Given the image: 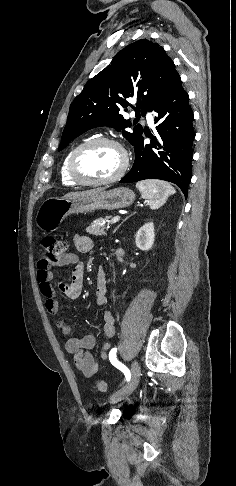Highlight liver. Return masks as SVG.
<instances>
[{
	"mask_svg": "<svg viewBox=\"0 0 236 486\" xmlns=\"http://www.w3.org/2000/svg\"><path fill=\"white\" fill-rule=\"evenodd\" d=\"M100 191L101 189H92V190L82 191V192H70L64 195L63 198H73V197H79L84 195H90V194L98 193Z\"/></svg>",
	"mask_w": 236,
	"mask_h": 486,
	"instance_id": "liver-1",
	"label": "liver"
}]
</instances>
